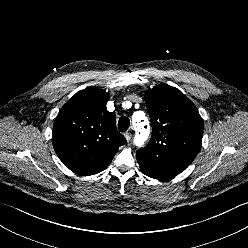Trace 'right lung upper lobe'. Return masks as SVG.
Segmentation results:
<instances>
[{"instance_id": "1", "label": "right lung upper lobe", "mask_w": 248, "mask_h": 248, "mask_svg": "<svg viewBox=\"0 0 248 248\" xmlns=\"http://www.w3.org/2000/svg\"><path fill=\"white\" fill-rule=\"evenodd\" d=\"M109 94L97 87L76 93L59 111L52 142L60 160L73 172L89 176L104 170L126 143L106 108Z\"/></svg>"}]
</instances>
